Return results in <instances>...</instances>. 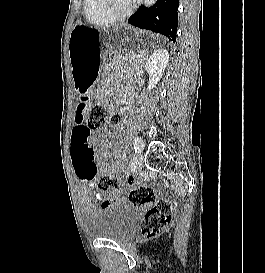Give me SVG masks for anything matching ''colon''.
<instances>
[{
    "mask_svg": "<svg viewBox=\"0 0 265 273\" xmlns=\"http://www.w3.org/2000/svg\"><path fill=\"white\" fill-rule=\"evenodd\" d=\"M87 113V114H86ZM84 117L89 132H93L95 138H100L106 130L120 125L122 116L118 112L109 111L107 107L97 102L87 111L86 105H79L76 108L75 120L73 125L77 128H84ZM90 152L94 155V150L90 146ZM99 190H112L117 194H127L129 202L133 205L142 206L153 202V205L147 211L142 223L141 233L147 238H152L162 233L172 222V205L163 199L155 200L153 190L144 184H133L128 191L123 184L116 178L101 177L97 182ZM102 203L105 206L109 203Z\"/></svg>",
    "mask_w": 265,
    "mask_h": 273,
    "instance_id": "5ec220e1",
    "label": "colon"
}]
</instances>
